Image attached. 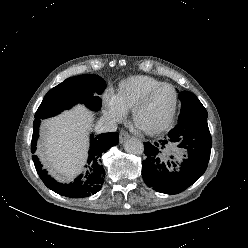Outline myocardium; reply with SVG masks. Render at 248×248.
<instances>
[{
	"label": "myocardium",
	"instance_id": "f54148a6",
	"mask_svg": "<svg viewBox=\"0 0 248 248\" xmlns=\"http://www.w3.org/2000/svg\"><path fill=\"white\" fill-rule=\"evenodd\" d=\"M164 87L170 88L173 91V95H174L173 106H172L171 112L168 116V119L166 120V122L164 124H162L161 126H159L157 128L145 129V128L140 127L137 124V119H138L139 114L148 105V103L151 100V98L153 97V95L157 91H159L160 89H162ZM178 103H179V96H178V92H177L176 88L169 83H161V84L153 87L152 89H150L140 99V101L134 106V108L131 111L132 123L139 131H141L142 133H144L146 135L156 136V135L162 134V133L166 132L168 129H170V127L172 126L174 119L176 117V113H177V109H178Z\"/></svg>",
	"mask_w": 248,
	"mask_h": 248
}]
</instances>
